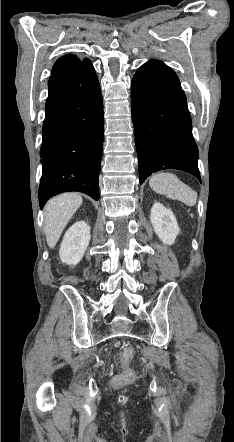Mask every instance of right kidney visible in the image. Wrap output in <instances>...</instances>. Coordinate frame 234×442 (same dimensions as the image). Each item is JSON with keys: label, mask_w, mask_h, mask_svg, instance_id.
<instances>
[{"label": "right kidney", "mask_w": 234, "mask_h": 442, "mask_svg": "<svg viewBox=\"0 0 234 442\" xmlns=\"http://www.w3.org/2000/svg\"><path fill=\"white\" fill-rule=\"evenodd\" d=\"M90 226L85 221L73 224L65 233L59 255L63 263L76 265L82 259L90 242Z\"/></svg>", "instance_id": "obj_1"}]
</instances>
